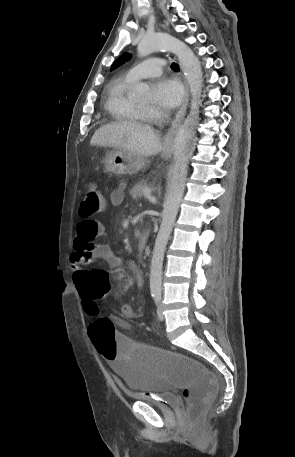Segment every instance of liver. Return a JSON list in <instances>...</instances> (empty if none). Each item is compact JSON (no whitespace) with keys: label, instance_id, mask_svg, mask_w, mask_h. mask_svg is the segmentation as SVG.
Segmentation results:
<instances>
[{"label":"liver","instance_id":"obj_1","mask_svg":"<svg viewBox=\"0 0 295 457\" xmlns=\"http://www.w3.org/2000/svg\"><path fill=\"white\" fill-rule=\"evenodd\" d=\"M90 144L125 150L138 157L155 155L162 150L161 139L153 127L131 121L100 127L92 136Z\"/></svg>","mask_w":295,"mask_h":457}]
</instances>
